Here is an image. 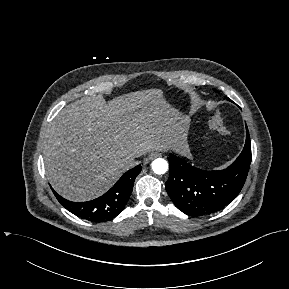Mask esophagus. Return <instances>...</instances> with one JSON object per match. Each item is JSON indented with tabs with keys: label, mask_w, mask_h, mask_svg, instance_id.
Returning <instances> with one entry per match:
<instances>
[{
	"label": "esophagus",
	"mask_w": 289,
	"mask_h": 289,
	"mask_svg": "<svg viewBox=\"0 0 289 289\" xmlns=\"http://www.w3.org/2000/svg\"><path fill=\"white\" fill-rule=\"evenodd\" d=\"M160 156H161V153H159V152H152V153L149 154L148 159L152 160V159L157 158V157H160Z\"/></svg>",
	"instance_id": "34e87169"
}]
</instances>
